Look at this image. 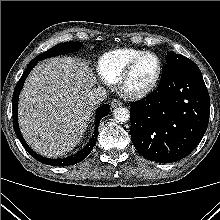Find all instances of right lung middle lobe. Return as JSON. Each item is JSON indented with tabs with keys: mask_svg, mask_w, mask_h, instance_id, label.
<instances>
[{
	"mask_svg": "<svg viewBox=\"0 0 220 220\" xmlns=\"http://www.w3.org/2000/svg\"><path fill=\"white\" fill-rule=\"evenodd\" d=\"M81 47H82V42H65V43H61V44H58V45L50 48L46 52L38 55L33 60L38 62V61H41L43 59L50 58V57H53V56H56V55H59V54H65V53L76 51V50L80 49Z\"/></svg>",
	"mask_w": 220,
	"mask_h": 220,
	"instance_id": "obj_1",
	"label": "right lung middle lobe"
}]
</instances>
